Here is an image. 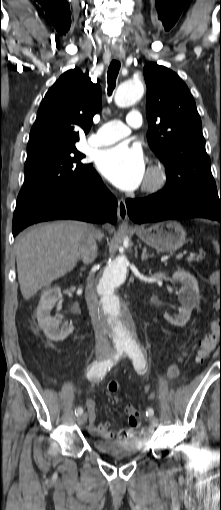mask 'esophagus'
<instances>
[{
  "mask_svg": "<svg viewBox=\"0 0 221 510\" xmlns=\"http://www.w3.org/2000/svg\"><path fill=\"white\" fill-rule=\"evenodd\" d=\"M114 57L118 58L119 57V54L118 53H115L114 54ZM118 218L119 220H121L123 223L126 224V220H127V207H126V202H125V199L124 198H121L119 199L118 201Z\"/></svg>",
  "mask_w": 221,
  "mask_h": 510,
  "instance_id": "esophagus-1",
  "label": "esophagus"
}]
</instances>
